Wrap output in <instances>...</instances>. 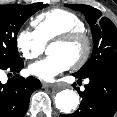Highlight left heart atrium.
Instances as JSON below:
<instances>
[{
  "label": "left heart atrium",
  "mask_w": 117,
  "mask_h": 117,
  "mask_svg": "<svg viewBox=\"0 0 117 117\" xmlns=\"http://www.w3.org/2000/svg\"><path fill=\"white\" fill-rule=\"evenodd\" d=\"M71 64L63 57L49 55L29 66V73L43 81L51 82L70 68Z\"/></svg>",
  "instance_id": "1"
}]
</instances>
